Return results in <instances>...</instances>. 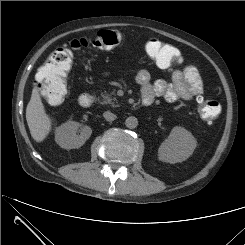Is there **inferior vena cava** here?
<instances>
[{"instance_id":"602c4592","label":"inferior vena cava","mask_w":245,"mask_h":245,"mask_svg":"<svg viewBox=\"0 0 245 245\" xmlns=\"http://www.w3.org/2000/svg\"><path fill=\"white\" fill-rule=\"evenodd\" d=\"M103 117L109 122L114 121L117 118V116L110 111H105Z\"/></svg>"}]
</instances>
